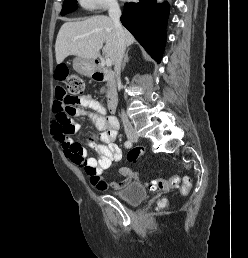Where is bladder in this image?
<instances>
[{
	"label": "bladder",
	"mask_w": 248,
	"mask_h": 258,
	"mask_svg": "<svg viewBox=\"0 0 248 258\" xmlns=\"http://www.w3.org/2000/svg\"><path fill=\"white\" fill-rule=\"evenodd\" d=\"M117 196L130 205H138L147 198L148 191L142 183L133 182L120 189Z\"/></svg>",
	"instance_id": "bladder-1"
}]
</instances>
